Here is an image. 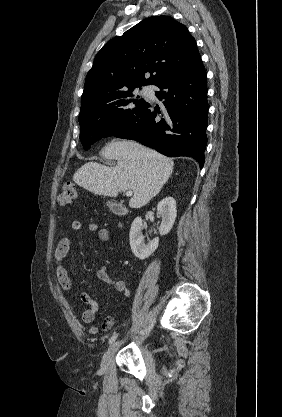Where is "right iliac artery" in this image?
I'll list each match as a JSON object with an SVG mask.
<instances>
[{
	"label": "right iliac artery",
	"mask_w": 282,
	"mask_h": 417,
	"mask_svg": "<svg viewBox=\"0 0 282 417\" xmlns=\"http://www.w3.org/2000/svg\"><path fill=\"white\" fill-rule=\"evenodd\" d=\"M154 319L151 321V326H149L148 329H150L153 326ZM118 334L114 333L111 338L109 339V344H112L117 339Z\"/></svg>",
	"instance_id": "right-iliac-artery-1"
}]
</instances>
